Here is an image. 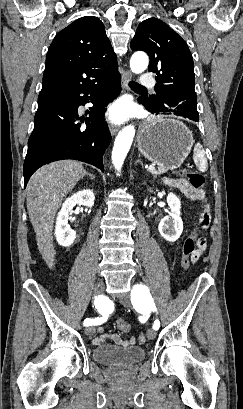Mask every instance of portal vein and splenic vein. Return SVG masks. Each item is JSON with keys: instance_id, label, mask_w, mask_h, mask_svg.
<instances>
[{"instance_id": "1", "label": "portal vein and splenic vein", "mask_w": 243, "mask_h": 409, "mask_svg": "<svg viewBox=\"0 0 243 409\" xmlns=\"http://www.w3.org/2000/svg\"><path fill=\"white\" fill-rule=\"evenodd\" d=\"M148 169H149V170H154L155 167H154V165H149Z\"/></svg>"}]
</instances>
